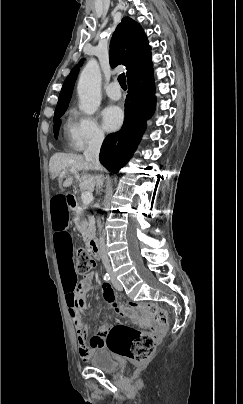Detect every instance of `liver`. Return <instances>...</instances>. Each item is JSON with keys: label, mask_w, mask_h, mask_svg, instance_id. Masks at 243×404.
<instances>
[{"label": "liver", "mask_w": 243, "mask_h": 404, "mask_svg": "<svg viewBox=\"0 0 243 404\" xmlns=\"http://www.w3.org/2000/svg\"><path fill=\"white\" fill-rule=\"evenodd\" d=\"M49 168L52 176H60L62 170H83L82 182L79 184L80 190H88V192H93L96 184L94 176H89L85 174L88 170H93L91 162H87L84 156H77V154H54L50 158ZM73 178H66L63 186L68 188L71 186Z\"/></svg>", "instance_id": "liver-1"}]
</instances>
